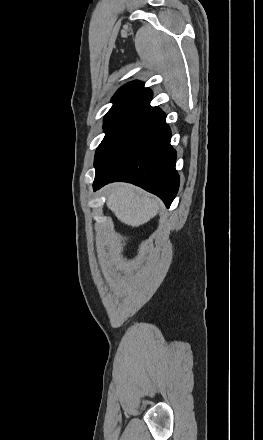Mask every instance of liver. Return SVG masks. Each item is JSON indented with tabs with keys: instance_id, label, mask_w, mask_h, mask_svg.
I'll list each match as a JSON object with an SVG mask.
<instances>
[{
	"instance_id": "6515ba94",
	"label": "liver",
	"mask_w": 263,
	"mask_h": 440,
	"mask_svg": "<svg viewBox=\"0 0 263 440\" xmlns=\"http://www.w3.org/2000/svg\"><path fill=\"white\" fill-rule=\"evenodd\" d=\"M107 207L123 223L138 227L150 221L159 210V203L131 185H109L105 189Z\"/></svg>"
}]
</instances>
